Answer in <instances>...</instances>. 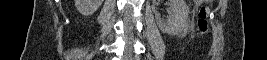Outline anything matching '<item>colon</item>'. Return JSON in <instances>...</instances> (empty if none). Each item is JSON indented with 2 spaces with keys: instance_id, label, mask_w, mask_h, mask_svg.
Segmentation results:
<instances>
[{
  "instance_id": "5ec220e1",
  "label": "colon",
  "mask_w": 267,
  "mask_h": 60,
  "mask_svg": "<svg viewBox=\"0 0 267 60\" xmlns=\"http://www.w3.org/2000/svg\"><path fill=\"white\" fill-rule=\"evenodd\" d=\"M202 6L197 14V29L201 34L207 33L209 29L208 14L210 13L209 1H201Z\"/></svg>"
}]
</instances>
